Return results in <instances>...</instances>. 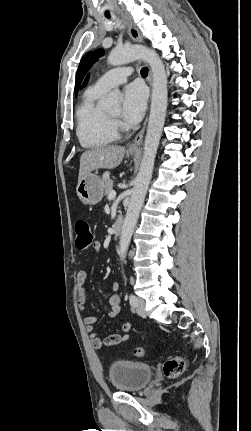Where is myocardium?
<instances>
[{
    "label": "myocardium",
    "mask_w": 251,
    "mask_h": 431,
    "mask_svg": "<svg viewBox=\"0 0 251 431\" xmlns=\"http://www.w3.org/2000/svg\"><path fill=\"white\" fill-rule=\"evenodd\" d=\"M107 117L114 127H117L120 124L119 117H114L108 113H107Z\"/></svg>",
    "instance_id": "obj_1"
}]
</instances>
